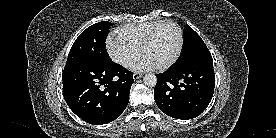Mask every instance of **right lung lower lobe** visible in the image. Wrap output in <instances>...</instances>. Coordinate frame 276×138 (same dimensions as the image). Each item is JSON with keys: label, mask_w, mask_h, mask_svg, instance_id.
<instances>
[{"label": "right lung lower lobe", "mask_w": 276, "mask_h": 138, "mask_svg": "<svg viewBox=\"0 0 276 138\" xmlns=\"http://www.w3.org/2000/svg\"><path fill=\"white\" fill-rule=\"evenodd\" d=\"M62 79L69 108L94 125L107 124L120 116L129 102L134 82L132 72L112 60L66 64Z\"/></svg>", "instance_id": "98d812e1"}]
</instances>
